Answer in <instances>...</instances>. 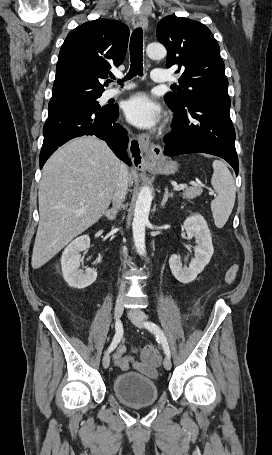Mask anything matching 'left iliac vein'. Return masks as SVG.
I'll return each mask as SVG.
<instances>
[{
	"label": "left iliac vein",
	"mask_w": 272,
	"mask_h": 455,
	"mask_svg": "<svg viewBox=\"0 0 272 455\" xmlns=\"http://www.w3.org/2000/svg\"><path fill=\"white\" fill-rule=\"evenodd\" d=\"M128 317L132 321L134 325H136L139 328H144L145 327V321L147 320V315L140 310H131L128 311ZM164 368L166 370L171 369V360L167 356L164 359L163 362Z\"/></svg>",
	"instance_id": "4c4485c4"
}]
</instances>
